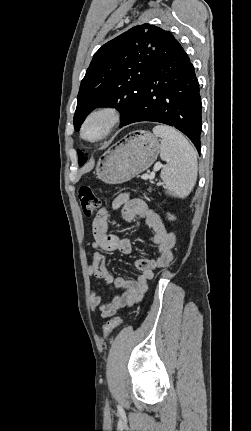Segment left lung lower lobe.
I'll return each mask as SVG.
<instances>
[{"label":"left lung lower lobe","mask_w":251,"mask_h":431,"mask_svg":"<svg viewBox=\"0 0 251 431\" xmlns=\"http://www.w3.org/2000/svg\"><path fill=\"white\" fill-rule=\"evenodd\" d=\"M201 108L194 67L171 34L159 47L135 106L120 127L140 121L164 123L183 132L199 152Z\"/></svg>","instance_id":"1"}]
</instances>
